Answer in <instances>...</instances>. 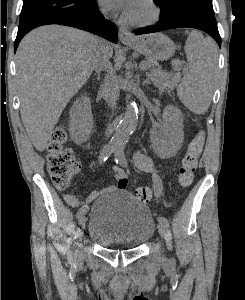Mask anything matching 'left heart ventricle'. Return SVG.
Listing matches in <instances>:
<instances>
[{
	"label": "left heart ventricle",
	"mask_w": 245,
	"mask_h": 300,
	"mask_svg": "<svg viewBox=\"0 0 245 300\" xmlns=\"http://www.w3.org/2000/svg\"><path fill=\"white\" fill-rule=\"evenodd\" d=\"M151 15V10L144 0H139L134 7L129 19L134 20H144L149 18Z\"/></svg>",
	"instance_id": "left-heart-ventricle-1"
}]
</instances>
